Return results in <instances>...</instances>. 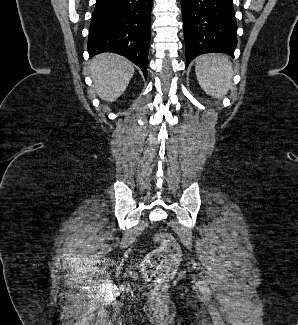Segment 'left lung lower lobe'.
Masks as SVG:
<instances>
[{"instance_id":"0a47b994","label":"left lung lower lobe","mask_w":298,"mask_h":325,"mask_svg":"<svg viewBox=\"0 0 298 325\" xmlns=\"http://www.w3.org/2000/svg\"><path fill=\"white\" fill-rule=\"evenodd\" d=\"M186 64L209 52L234 57L237 44L232 0H181Z\"/></svg>"}]
</instances>
